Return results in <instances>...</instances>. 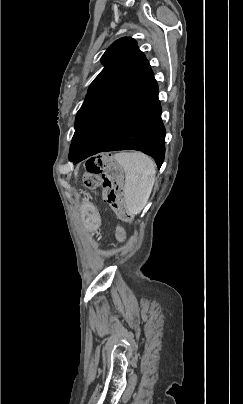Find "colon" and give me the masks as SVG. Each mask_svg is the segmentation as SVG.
<instances>
[{
  "mask_svg": "<svg viewBox=\"0 0 243 404\" xmlns=\"http://www.w3.org/2000/svg\"><path fill=\"white\" fill-rule=\"evenodd\" d=\"M84 184L91 189H103L105 201L123 218L130 214L124 201L123 173L119 164L110 155L91 158L86 164Z\"/></svg>",
  "mask_w": 243,
  "mask_h": 404,
  "instance_id": "colon-1",
  "label": "colon"
}]
</instances>
